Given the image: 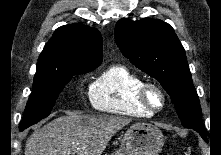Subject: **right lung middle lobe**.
I'll return each mask as SVG.
<instances>
[{
  "label": "right lung middle lobe",
  "mask_w": 221,
  "mask_h": 155,
  "mask_svg": "<svg viewBox=\"0 0 221 155\" xmlns=\"http://www.w3.org/2000/svg\"><path fill=\"white\" fill-rule=\"evenodd\" d=\"M98 66L37 68L33 82V91L28 99L24 117L19 125L20 131L46 118L50 114L59 93L75 74L89 72Z\"/></svg>",
  "instance_id": "right-lung-middle-lobe-1"
}]
</instances>
